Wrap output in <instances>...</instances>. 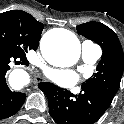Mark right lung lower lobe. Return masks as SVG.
<instances>
[{
	"label": "right lung lower lobe",
	"instance_id": "98d812e1",
	"mask_svg": "<svg viewBox=\"0 0 124 124\" xmlns=\"http://www.w3.org/2000/svg\"><path fill=\"white\" fill-rule=\"evenodd\" d=\"M26 63L27 59L14 57L0 51V119L14 115L25 101L26 94L13 92L6 83V74L10 69L11 62Z\"/></svg>",
	"mask_w": 124,
	"mask_h": 124
}]
</instances>
